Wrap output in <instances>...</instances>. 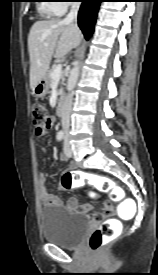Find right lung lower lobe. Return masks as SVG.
Here are the masks:
<instances>
[{
    "instance_id": "98d812e1",
    "label": "right lung lower lobe",
    "mask_w": 158,
    "mask_h": 275,
    "mask_svg": "<svg viewBox=\"0 0 158 275\" xmlns=\"http://www.w3.org/2000/svg\"><path fill=\"white\" fill-rule=\"evenodd\" d=\"M82 5L78 14V24L84 36L88 39L93 31L99 5L102 0H81Z\"/></svg>"
}]
</instances>
